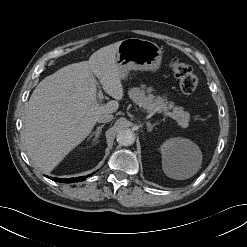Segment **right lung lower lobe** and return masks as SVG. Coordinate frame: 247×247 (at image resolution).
I'll return each instance as SVG.
<instances>
[{
	"label": "right lung lower lobe",
	"mask_w": 247,
	"mask_h": 247,
	"mask_svg": "<svg viewBox=\"0 0 247 247\" xmlns=\"http://www.w3.org/2000/svg\"><path fill=\"white\" fill-rule=\"evenodd\" d=\"M92 174L88 175L91 176ZM86 176V177H88ZM84 176L82 177H76V178H68V179H59V178H51L53 181H57V182H62V183H73V182H80L85 180Z\"/></svg>",
	"instance_id": "98d812e1"
}]
</instances>
